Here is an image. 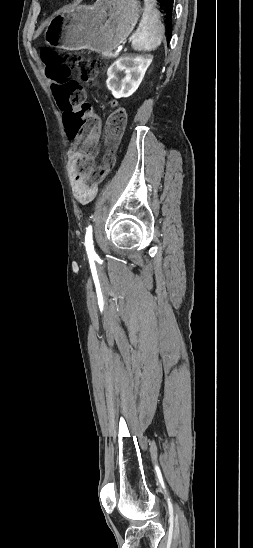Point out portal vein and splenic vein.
I'll return each instance as SVG.
<instances>
[{"instance_id": "1", "label": "portal vein and splenic vein", "mask_w": 253, "mask_h": 548, "mask_svg": "<svg viewBox=\"0 0 253 548\" xmlns=\"http://www.w3.org/2000/svg\"><path fill=\"white\" fill-rule=\"evenodd\" d=\"M117 54H118V52H115V55H117Z\"/></svg>"}]
</instances>
